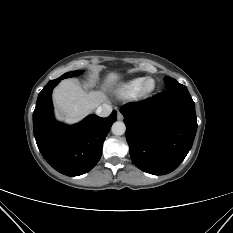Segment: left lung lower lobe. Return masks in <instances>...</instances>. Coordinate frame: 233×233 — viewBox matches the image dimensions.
Listing matches in <instances>:
<instances>
[{
	"label": "left lung lower lobe",
	"instance_id": "obj_1",
	"mask_svg": "<svg viewBox=\"0 0 233 233\" xmlns=\"http://www.w3.org/2000/svg\"><path fill=\"white\" fill-rule=\"evenodd\" d=\"M120 112L136 167L153 175H165L181 164L197 130L195 103L186 86L124 105Z\"/></svg>",
	"mask_w": 233,
	"mask_h": 233
}]
</instances>
